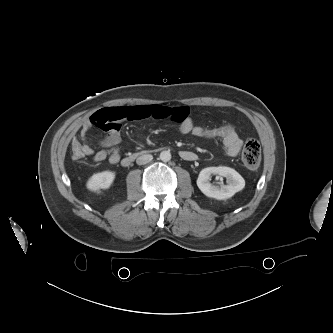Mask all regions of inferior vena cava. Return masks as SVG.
Here are the masks:
<instances>
[{
    "mask_svg": "<svg viewBox=\"0 0 333 333\" xmlns=\"http://www.w3.org/2000/svg\"><path fill=\"white\" fill-rule=\"evenodd\" d=\"M153 159V156L151 154H144L137 158L136 163L138 165H144L149 163Z\"/></svg>",
    "mask_w": 333,
    "mask_h": 333,
    "instance_id": "602c4592",
    "label": "inferior vena cava"
}]
</instances>
